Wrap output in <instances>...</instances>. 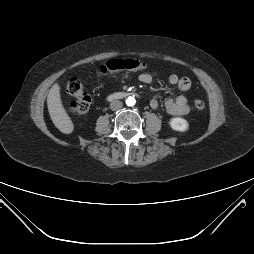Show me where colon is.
<instances>
[{"label":"colon","mask_w":254,"mask_h":254,"mask_svg":"<svg viewBox=\"0 0 254 254\" xmlns=\"http://www.w3.org/2000/svg\"><path fill=\"white\" fill-rule=\"evenodd\" d=\"M146 67L145 62L137 59H113L100 66V73L109 76L121 70L138 71ZM67 93L72 97L69 105L70 113L77 118H83L90 110L91 97L85 92L82 82L78 78H72L67 84ZM194 106L197 110L205 109L202 100H195Z\"/></svg>","instance_id":"obj_1"}]
</instances>
